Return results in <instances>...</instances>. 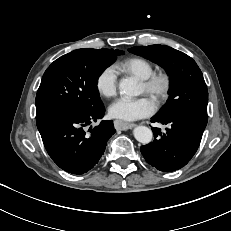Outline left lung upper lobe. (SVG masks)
I'll use <instances>...</instances> for the list:
<instances>
[{
	"label": "left lung upper lobe",
	"instance_id": "1",
	"mask_svg": "<svg viewBox=\"0 0 231 231\" xmlns=\"http://www.w3.org/2000/svg\"><path fill=\"white\" fill-rule=\"evenodd\" d=\"M129 52L163 67L170 76L169 98L156 114L188 113L207 119L208 91L196 62L185 53L165 45L133 47Z\"/></svg>",
	"mask_w": 231,
	"mask_h": 231
}]
</instances>
